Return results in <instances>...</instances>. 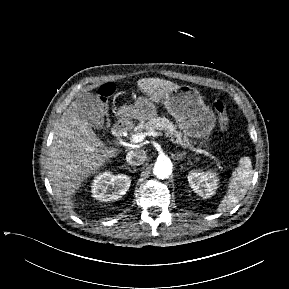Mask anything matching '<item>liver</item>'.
<instances>
[{"label":"liver","instance_id":"6515ba94","mask_svg":"<svg viewBox=\"0 0 289 289\" xmlns=\"http://www.w3.org/2000/svg\"><path fill=\"white\" fill-rule=\"evenodd\" d=\"M139 89L150 100L158 102L165 93L179 87L159 78L138 80ZM120 150L106 146L85 118L80 114L77 101L63 113L54 131L48 161V177L53 192L65 204L70 201L81 183L116 157Z\"/></svg>","mask_w":289,"mask_h":289}]
</instances>
